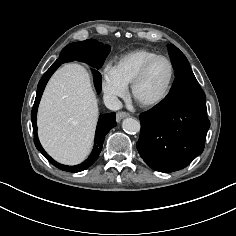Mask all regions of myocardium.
Listing matches in <instances>:
<instances>
[{"label":"myocardium","mask_w":236,"mask_h":236,"mask_svg":"<svg viewBox=\"0 0 236 236\" xmlns=\"http://www.w3.org/2000/svg\"><path fill=\"white\" fill-rule=\"evenodd\" d=\"M158 60H165L168 62L169 66H170V78H169V82L167 84V87H166L165 91L162 93V95L159 96L158 98L153 99V100H141L137 95V89H138L140 83L142 82V80L144 79V77L146 76L150 67ZM174 81H175V66H174L172 60L167 56L157 55V56L149 59L138 71V73L136 74V76L134 77V79L131 83V94H132L134 100L140 106L146 107V108H152V107L162 104L168 98V96L170 95L171 90L173 88Z\"/></svg>","instance_id":"obj_1"}]
</instances>
